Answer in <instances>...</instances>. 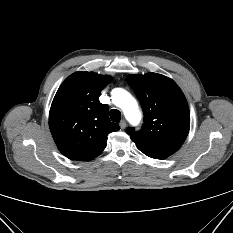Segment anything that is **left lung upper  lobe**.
<instances>
[{
  "label": "left lung upper lobe",
  "instance_id": "obj_1",
  "mask_svg": "<svg viewBox=\"0 0 233 233\" xmlns=\"http://www.w3.org/2000/svg\"><path fill=\"white\" fill-rule=\"evenodd\" d=\"M127 80L144 113L142 128L137 132L129 128L127 133L140 151L172 155L190 127L184 94L172 79L157 73L130 75Z\"/></svg>",
  "mask_w": 233,
  "mask_h": 233
}]
</instances>
